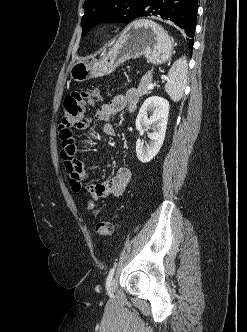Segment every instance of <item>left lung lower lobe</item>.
<instances>
[{
  "mask_svg": "<svg viewBox=\"0 0 247 332\" xmlns=\"http://www.w3.org/2000/svg\"><path fill=\"white\" fill-rule=\"evenodd\" d=\"M197 10V0H147L139 11L138 17L155 16L172 21L185 31L188 37L187 45L189 50H192Z\"/></svg>",
  "mask_w": 247,
  "mask_h": 332,
  "instance_id": "0a47b994",
  "label": "left lung lower lobe"
}]
</instances>
